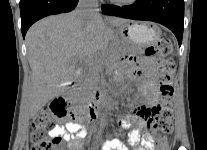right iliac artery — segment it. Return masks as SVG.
Masks as SVG:
<instances>
[{
  "instance_id": "82829eb1",
  "label": "right iliac artery",
  "mask_w": 207,
  "mask_h": 150,
  "mask_svg": "<svg viewBox=\"0 0 207 150\" xmlns=\"http://www.w3.org/2000/svg\"><path fill=\"white\" fill-rule=\"evenodd\" d=\"M111 147V142L107 141L103 147H102V150H109Z\"/></svg>"
}]
</instances>
